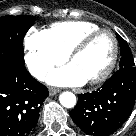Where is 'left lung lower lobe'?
<instances>
[{
	"mask_svg": "<svg viewBox=\"0 0 136 136\" xmlns=\"http://www.w3.org/2000/svg\"><path fill=\"white\" fill-rule=\"evenodd\" d=\"M136 67L119 69L101 88L79 94L72 120L86 134L108 136L121 127L134 106Z\"/></svg>",
	"mask_w": 136,
	"mask_h": 136,
	"instance_id": "0a47b994",
	"label": "left lung lower lobe"
}]
</instances>
